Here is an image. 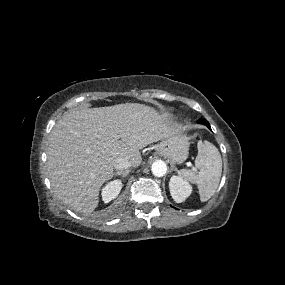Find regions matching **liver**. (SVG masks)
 I'll return each instance as SVG.
<instances>
[{"instance_id":"6515ba94","label":"liver","mask_w":285,"mask_h":285,"mask_svg":"<svg viewBox=\"0 0 285 285\" xmlns=\"http://www.w3.org/2000/svg\"><path fill=\"white\" fill-rule=\"evenodd\" d=\"M179 132L166 114L139 103L87 108L65 114L49 138L47 167L59 199L91 214L101 186L113 176L114 163L125 158L138 167L139 150Z\"/></svg>"}]
</instances>
